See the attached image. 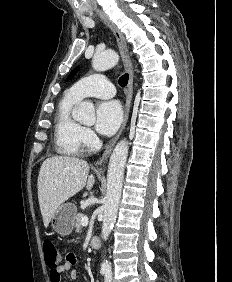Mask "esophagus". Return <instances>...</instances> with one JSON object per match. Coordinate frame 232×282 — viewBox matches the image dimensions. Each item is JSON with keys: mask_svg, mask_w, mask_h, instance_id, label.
I'll list each match as a JSON object with an SVG mask.
<instances>
[{"mask_svg": "<svg viewBox=\"0 0 232 282\" xmlns=\"http://www.w3.org/2000/svg\"><path fill=\"white\" fill-rule=\"evenodd\" d=\"M100 18L103 20V22L107 25V27L112 31L114 37L117 40L119 51L122 57V61L124 63L125 70L127 71L129 75L128 83H127V90H126V103L124 107V118L122 122V126L117 133V135L109 142L107 145L104 153L102 156L97 160L96 165H101L107 158L109 157L113 147L115 146L117 140L123 133L130 113V106L132 101V95H133V80H134V69H133V63L131 59V55L129 53L128 44L126 42V39L124 35L121 33V31L118 29V27L109 19V17L103 12V11H97Z\"/></svg>", "mask_w": 232, "mask_h": 282, "instance_id": "34e87169", "label": "esophagus"}]
</instances>
